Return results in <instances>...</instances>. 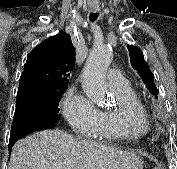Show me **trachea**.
I'll return each instance as SVG.
<instances>
[{
  "label": "trachea",
  "instance_id": "trachea-1",
  "mask_svg": "<svg viewBox=\"0 0 177 169\" xmlns=\"http://www.w3.org/2000/svg\"><path fill=\"white\" fill-rule=\"evenodd\" d=\"M90 21H95L97 19V13H91L89 17Z\"/></svg>",
  "mask_w": 177,
  "mask_h": 169
}]
</instances>
